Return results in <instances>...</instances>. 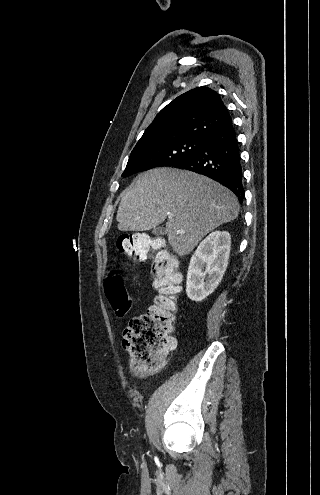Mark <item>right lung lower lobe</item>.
Listing matches in <instances>:
<instances>
[{
    "label": "right lung lower lobe",
    "mask_w": 320,
    "mask_h": 495,
    "mask_svg": "<svg viewBox=\"0 0 320 495\" xmlns=\"http://www.w3.org/2000/svg\"><path fill=\"white\" fill-rule=\"evenodd\" d=\"M173 167L208 176L228 187L240 203L244 199L239 143L232 122L209 134L198 152Z\"/></svg>",
    "instance_id": "1"
}]
</instances>
